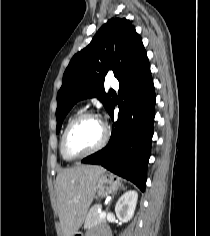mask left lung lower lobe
<instances>
[{
  "mask_svg": "<svg viewBox=\"0 0 210 236\" xmlns=\"http://www.w3.org/2000/svg\"><path fill=\"white\" fill-rule=\"evenodd\" d=\"M118 120L108 145L82 163L102 165L145 190L155 117V92L146 61L132 76L120 83ZM112 104L109 115L113 119Z\"/></svg>",
  "mask_w": 210,
  "mask_h": 236,
  "instance_id": "left-lung-lower-lobe-1",
  "label": "left lung lower lobe"
}]
</instances>
